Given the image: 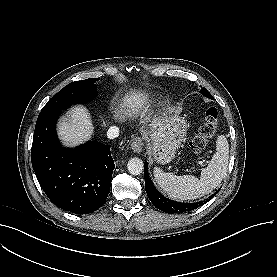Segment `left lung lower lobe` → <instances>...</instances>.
Wrapping results in <instances>:
<instances>
[{"label": "left lung lower lobe", "mask_w": 277, "mask_h": 277, "mask_svg": "<svg viewBox=\"0 0 277 277\" xmlns=\"http://www.w3.org/2000/svg\"><path fill=\"white\" fill-rule=\"evenodd\" d=\"M144 176H145V188L149 200L157 207L158 209L166 213H175V212H186L198 208L200 205L206 203L207 201H200L198 203H179L165 198L153 185L149 174H148V163L145 162ZM214 195V194H213ZM212 195V197H213Z\"/></svg>", "instance_id": "1"}]
</instances>
